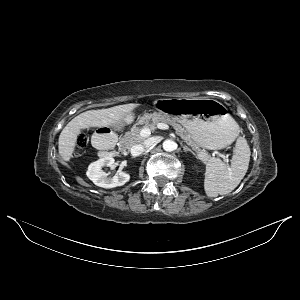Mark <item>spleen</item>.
Masks as SVG:
<instances>
[{
	"label": "spleen",
	"instance_id": "obj_1",
	"mask_svg": "<svg viewBox=\"0 0 300 300\" xmlns=\"http://www.w3.org/2000/svg\"><path fill=\"white\" fill-rule=\"evenodd\" d=\"M231 166L211 158L206 165L204 189L209 197L232 192L244 178L250 161V148L245 138L239 137L233 151Z\"/></svg>",
	"mask_w": 300,
	"mask_h": 300
}]
</instances>
